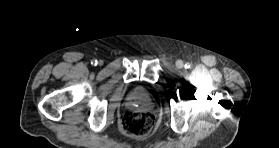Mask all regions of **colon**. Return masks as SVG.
<instances>
[{"label": "colon", "instance_id": "1", "mask_svg": "<svg viewBox=\"0 0 279 148\" xmlns=\"http://www.w3.org/2000/svg\"><path fill=\"white\" fill-rule=\"evenodd\" d=\"M157 121L155 116L146 111L130 110L123 114L120 120V128L123 133L142 137L150 134L156 128Z\"/></svg>", "mask_w": 279, "mask_h": 148}]
</instances>
